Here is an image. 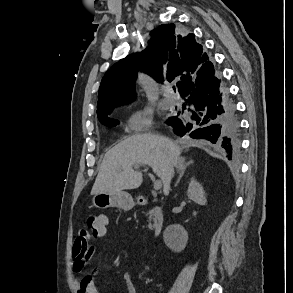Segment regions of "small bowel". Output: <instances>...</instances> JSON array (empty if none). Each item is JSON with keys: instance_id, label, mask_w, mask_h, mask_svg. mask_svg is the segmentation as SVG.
Instances as JSON below:
<instances>
[{"instance_id": "1", "label": "small bowel", "mask_w": 293, "mask_h": 293, "mask_svg": "<svg viewBox=\"0 0 293 293\" xmlns=\"http://www.w3.org/2000/svg\"><path fill=\"white\" fill-rule=\"evenodd\" d=\"M106 228L103 233L95 236L86 230H80L73 247L72 269L77 277L75 285L78 293H99L98 287L91 275H82L84 269L88 265L89 260L95 255L96 248L90 245V241L94 238H102L106 235ZM82 275V276H80ZM80 276V277H78ZM123 282L125 284V293H138L136 286L132 281L130 272L123 274Z\"/></svg>"}]
</instances>
